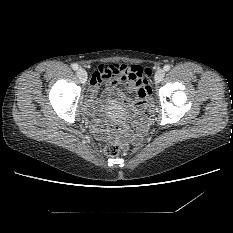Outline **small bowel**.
Returning <instances> with one entry per match:
<instances>
[{
    "mask_svg": "<svg viewBox=\"0 0 233 233\" xmlns=\"http://www.w3.org/2000/svg\"><path fill=\"white\" fill-rule=\"evenodd\" d=\"M146 68L139 65H125L121 63L100 62L97 71L91 79L89 95L86 102V109L94 117L90 130L96 139L101 143L115 142L120 140V136L110 128H105L104 124L110 123L113 118L125 121L134 119L138 122V127L126 125L127 133L124 139L140 141L147 128V121L144 116L146 106L145 99L138 97L132 100L117 87L123 83L130 91H137L138 87L130 81L131 77L137 78L139 87L149 86V76ZM106 83L102 98H99V88ZM150 96V93H147ZM106 115L105 118H102Z\"/></svg>",
    "mask_w": 233,
    "mask_h": 233,
    "instance_id": "1",
    "label": "small bowel"
}]
</instances>
